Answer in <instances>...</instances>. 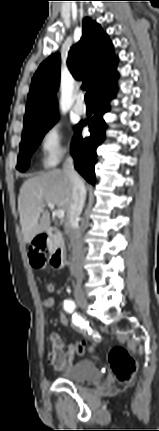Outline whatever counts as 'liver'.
I'll return each mask as SVG.
<instances>
[{"instance_id":"6515ba94","label":"liver","mask_w":159,"mask_h":431,"mask_svg":"<svg viewBox=\"0 0 159 431\" xmlns=\"http://www.w3.org/2000/svg\"><path fill=\"white\" fill-rule=\"evenodd\" d=\"M47 202H52L70 214L72 203V183L64 170H52L32 177L24 182L18 197V211L24 242L29 244L50 226V214L40 210Z\"/></svg>"}]
</instances>
